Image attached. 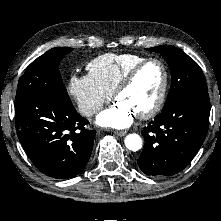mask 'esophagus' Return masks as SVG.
<instances>
[{"label": "esophagus", "mask_w": 221, "mask_h": 221, "mask_svg": "<svg viewBox=\"0 0 221 221\" xmlns=\"http://www.w3.org/2000/svg\"><path fill=\"white\" fill-rule=\"evenodd\" d=\"M114 133L118 136H124L126 135L127 132L126 131H114Z\"/></svg>", "instance_id": "esophagus-1"}]
</instances>
